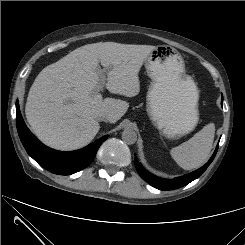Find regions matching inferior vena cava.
Masks as SVG:
<instances>
[{
  "instance_id": "inferior-vena-cava-1",
  "label": "inferior vena cava",
  "mask_w": 245,
  "mask_h": 245,
  "mask_svg": "<svg viewBox=\"0 0 245 245\" xmlns=\"http://www.w3.org/2000/svg\"><path fill=\"white\" fill-rule=\"evenodd\" d=\"M97 120H98V121L108 122V121H109V118H108V116H106V115H102V116H99V117L97 118Z\"/></svg>"
}]
</instances>
